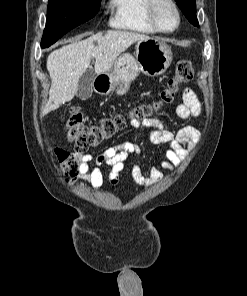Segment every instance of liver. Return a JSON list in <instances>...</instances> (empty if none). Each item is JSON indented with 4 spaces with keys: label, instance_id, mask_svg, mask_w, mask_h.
<instances>
[{
    "label": "liver",
    "instance_id": "obj_1",
    "mask_svg": "<svg viewBox=\"0 0 247 296\" xmlns=\"http://www.w3.org/2000/svg\"><path fill=\"white\" fill-rule=\"evenodd\" d=\"M149 38L136 32L109 30L105 34L97 33L51 52L47 58L51 88L43 115L74 98L79 79L90 66L92 58H95V73H104L133 43Z\"/></svg>",
    "mask_w": 247,
    "mask_h": 296
}]
</instances>
